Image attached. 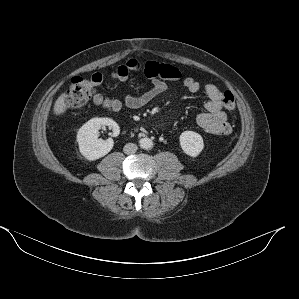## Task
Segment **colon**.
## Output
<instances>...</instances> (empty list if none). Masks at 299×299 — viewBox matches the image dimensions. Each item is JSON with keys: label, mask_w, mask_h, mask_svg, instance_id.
Instances as JSON below:
<instances>
[{"label": "colon", "mask_w": 299, "mask_h": 299, "mask_svg": "<svg viewBox=\"0 0 299 299\" xmlns=\"http://www.w3.org/2000/svg\"><path fill=\"white\" fill-rule=\"evenodd\" d=\"M100 76L95 74L90 78L76 76L72 78L71 84L66 95V106L69 109H81L90 100L94 88L98 85ZM226 110L235 109V98L231 92H225L222 99Z\"/></svg>", "instance_id": "colon-1"}]
</instances>
